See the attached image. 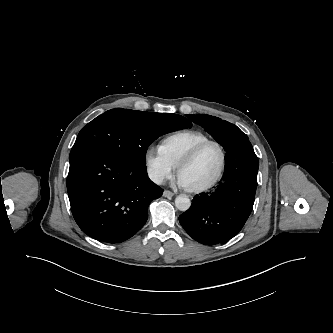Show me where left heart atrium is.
Here are the masks:
<instances>
[{
	"instance_id": "39dd6f15",
	"label": "left heart atrium",
	"mask_w": 333,
	"mask_h": 333,
	"mask_svg": "<svg viewBox=\"0 0 333 333\" xmlns=\"http://www.w3.org/2000/svg\"><path fill=\"white\" fill-rule=\"evenodd\" d=\"M178 183H179V185H181L182 187H186L185 184L183 183V181L181 180L180 177H179V179H178Z\"/></svg>"
}]
</instances>
